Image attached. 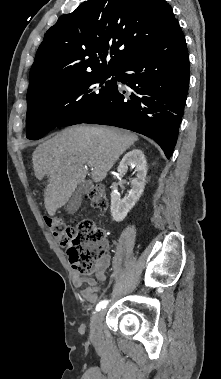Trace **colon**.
<instances>
[{
	"label": "colon",
	"instance_id": "1",
	"mask_svg": "<svg viewBox=\"0 0 221 379\" xmlns=\"http://www.w3.org/2000/svg\"><path fill=\"white\" fill-rule=\"evenodd\" d=\"M88 196L95 208L101 211L106 209L107 198L102 186H94ZM45 223L54 239L67 247L69 261L79 275L88 276L97 270L107 249L102 228L89 219L67 226L60 218L45 217Z\"/></svg>",
	"mask_w": 221,
	"mask_h": 379
}]
</instances>
